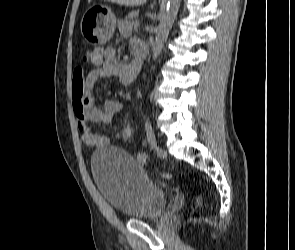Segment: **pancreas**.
Here are the masks:
<instances>
[{
  "label": "pancreas",
  "instance_id": "obj_1",
  "mask_svg": "<svg viewBox=\"0 0 295 250\" xmlns=\"http://www.w3.org/2000/svg\"><path fill=\"white\" fill-rule=\"evenodd\" d=\"M139 12L138 11H132L127 15L128 19H131L133 22L132 24H134V20L138 17Z\"/></svg>",
  "mask_w": 295,
  "mask_h": 250
}]
</instances>
